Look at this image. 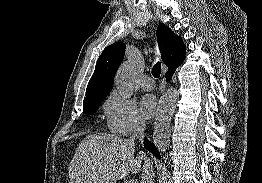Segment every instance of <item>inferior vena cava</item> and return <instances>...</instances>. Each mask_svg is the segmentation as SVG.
<instances>
[{
	"label": "inferior vena cava",
	"mask_w": 262,
	"mask_h": 183,
	"mask_svg": "<svg viewBox=\"0 0 262 183\" xmlns=\"http://www.w3.org/2000/svg\"><path fill=\"white\" fill-rule=\"evenodd\" d=\"M145 130V121L143 119H136L133 126V133L130 136V140L134 142L135 139L143 141ZM142 158L144 159V165L142 169V176L140 183H154L155 173L153 171V165L150 159L142 152Z\"/></svg>",
	"instance_id": "1"
}]
</instances>
